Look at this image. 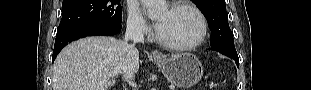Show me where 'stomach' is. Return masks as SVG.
Masks as SVG:
<instances>
[{
	"label": "stomach",
	"mask_w": 311,
	"mask_h": 90,
	"mask_svg": "<svg viewBox=\"0 0 311 90\" xmlns=\"http://www.w3.org/2000/svg\"><path fill=\"white\" fill-rule=\"evenodd\" d=\"M166 79L179 88H190L197 84L203 75L201 62L190 53H177L154 58Z\"/></svg>",
	"instance_id": "obj_1"
}]
</instances>
